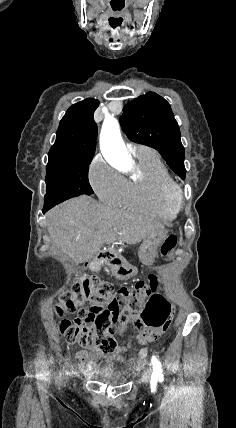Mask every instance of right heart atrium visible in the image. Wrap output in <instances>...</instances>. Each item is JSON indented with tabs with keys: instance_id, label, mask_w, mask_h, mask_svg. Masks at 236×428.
I'll return each instance as SVG.
<instances>
[{
	"instance_id": "obj_1",
	"label": "right heart atrium",
	"mask_w": 236,
	"mask_h": 428,
	"mask_svg": "<svg viewBox=\"0 0 236 428\" xmlns=\"http://www.w3.org/2000/svg\"><path fill=\"white\" fill-rule=\"evenodd\" d=\"M88 180L99 200L105 206L122 204L125 194V179L101 155H97L89 166Z\"/></svg>"
}]
</instances>
